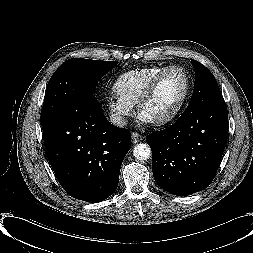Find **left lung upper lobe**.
<instances>
[{
    "mask_svg": "<svg viewBox=\"0 0 253 253\" xmlns=\"http://www.w3.org/2000/svg\"><path fill=\"white\" fill-rule=\"evenodd\" d=\"M196 79L192 99L188 109L206 107L213 102L223 99L219 86L213 74L200 62L192 60Z\"/></svg>",
    "mask_w": 253,
    "mask_h": 253,
    "instance_id": "obj_1",
    "label": "left lung upper lobe"
}]
</instances>
